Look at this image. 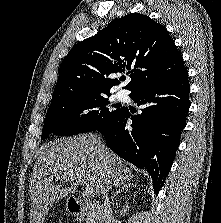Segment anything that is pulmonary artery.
Masks as SVG:
<instances>
[{
	"instance_id": "obj_1",
	"label": "pulmonary artery",
	"mask_w": 221,
	"mask_h": 223,
	"mask_svg": "<svg viewBox=\"0 0 221 223\" xmlns=\"http://www.w3.org/2000/svg\"><path fill=\"white\" fill-rule=\"evenodd\" d=\"M118 96L119 97H124V93L120 92Z\"/></svg>"
}]
</instances>
